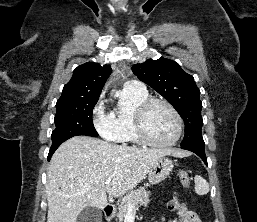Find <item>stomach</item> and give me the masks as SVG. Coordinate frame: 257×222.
<instances>
[{"instance_id": "0dacf381", "label": "stomach", "mask_w": 257, "mask_h": 222, "mask_svg": "<svg viewBox=\"0 0 257 222\" xmlns=\"http://www.w3.org/2000/svg\"><path fill=\"white\" fill-rule=\"evenodd\" d=\"M173 162L167 157L159 158L148 172V180L153 184L162 182L172 171Z\"/></svg>"}]
</instances>
